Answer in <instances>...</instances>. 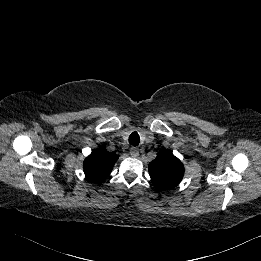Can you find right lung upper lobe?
Masks as SVG:
<instances>
[{"label": "right lung upper lobe", "mask_w": 261, "mask_h": 261, "mask_svg": "<svg viewBox=\"0 0 261 261\" xmlns=\"http://www.w3.org/2000/svg\"><path fill=\"white\" fill-rule=\"evenodd\" d=\"M118 156L108 152L105 147L92 152L84 161L86 177L95 183H101L111 173Z\"/></svg>", "instance_id": "1"}]
</instances>
